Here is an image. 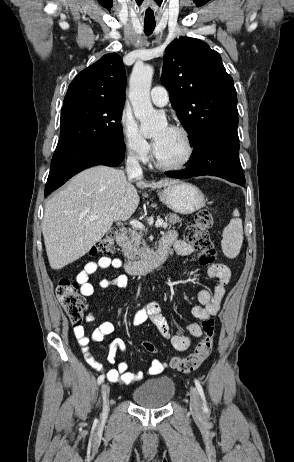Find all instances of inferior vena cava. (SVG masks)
Wrapping results in <instances>:
<instances>
[{
	"label": "inferior vena cava",
	"instance_id": "obj_1",
	"mask_svg": "<svg viewBox=\"0 0 294 462\" xmlns=\"http://www.w3.org/2000/svg\"><path fill=\"white\" fill-rule=\"evenodd\" d=\"M126 173L128 180L142 176V168L138 162L136 155L131 151L126 161Z\"/></svg>",
	"mask_w": 294,
	"mask_h": 462
}]
</instances>
